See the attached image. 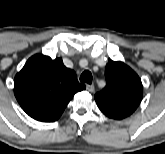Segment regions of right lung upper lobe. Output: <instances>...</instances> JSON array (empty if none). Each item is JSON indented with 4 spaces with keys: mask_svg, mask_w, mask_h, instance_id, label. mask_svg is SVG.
<instances>
[{
    "mask_svg": "<svg viewBox=\"0 0 165 154\" xmlns=\"http://www.w3.org/2000/svg\"><path fill=\"white\" fill-rule=\"evenodd\" d=\"M85 88L61 58L51 59L40 54L29 58L14 80L18 103L38 121L62 113L74 94Z\"/></svg>",
    "mask_w": 165,
    "mask_h": 154,
    "instance_id": "1",
    "label": "right lung upper lobe"
}]
</instances>
